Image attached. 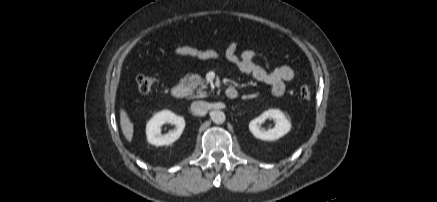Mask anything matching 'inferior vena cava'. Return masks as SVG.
<instances>
[{"instance_id": "obj_1", "label": "inferior vena cava", "mask_w": 437, "mask_h": 202, "mask_svg": "<svg viewBox=\"0 0 437 202\" xmlns=\"http://www.w3.org/2000/svg\"><path fill=\"white\" fill-rule=\"evenodd\" d=\"M209 104L205 101H194L191 104V111L194 115L203 116L207 113Z\"/></svg>"}]
</instances>
